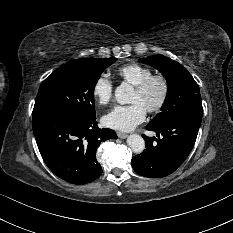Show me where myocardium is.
<instances>
[{"label":"myocardium","mask_w":233,"mask_h":233,"mask_svg":"<svg viewBox=\"0 0 233 233\" xmlns=\"http://www.w3.org/2000/svg\"><path fill=\"white\" fill-rule=\"evenodd\" d=\"M154 83H158L160 85L161 94H160V98L156 102V104H154L153 106L146 109L150 113H155V112L160 111L164 107V105L168 99L169 82H168L167 78L162 74H153V75L149 76L148 78H146L139 85L135 86V91L138 94H144L148 91V89Z\"/></svg>","instance_id":"1"}]
</instances>
